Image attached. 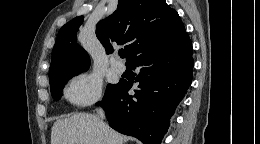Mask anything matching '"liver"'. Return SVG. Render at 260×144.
<instances>
[{
  "label": "liver",
  "mask_w": 260,
  "mask_h": 144,
  "mask_svg": "<svg viewBox=\"0 0 260 144\" xmlns=\"http://www.w3.org/2000/svg\"><path fill=\"white\" fill-rule=\"evenodd\" d=\"M126 141L125 136L88 113L59 119L51 131V144H124Z\"/></svg>",
  "instance_id": "6515ba94"
}]
</instances>
